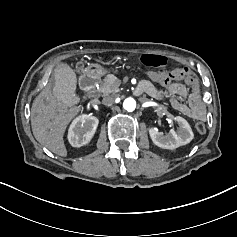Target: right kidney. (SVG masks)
Returning a JSON list of instances; mask_svg holds the SVG:
<instances>
[{"mask_svg":"<svg viewBox=\"0 0 237 237\" xmlns=\"http://www.w3.org/2000/svg\"><path fill=\"white\" fill-rule=\"evenodd\" d=\"M98 126V119L91 115H83L77 118L71 125L68 140L74 147L87 144L93 137Z\"/></svg>","mask_w":237,"mask_h":237,"instance_id":"ca27d5eb","label":"right kidney"}]
</instances>
